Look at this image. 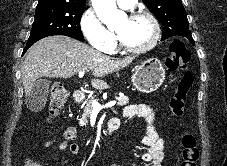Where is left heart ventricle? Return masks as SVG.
Here are the masks:
<instances>
[{"label":"left heart ventricle","mask_w":227,"mask_h":166,"mask_svg":"<svg viewBox=\"0 0 227 166\" xmlns=\"http://www.w3.org/2000/svg\"><path fill=\"white\" fill-rule=\"evenodd\" d=\"M115 31L121 41L129 47L144 46L153 35L152 25L146 18L131 20L128 17H124L118 22Z\"/></svg>","instance_id":"left-heart-ventricle-1"}]
</instances>
